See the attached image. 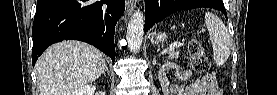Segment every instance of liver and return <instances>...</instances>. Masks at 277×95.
Listing matches in <instances>:
<instances>
[{
  "label": "liver",
  "instance_id": "1",
  "mask_svg": "<svg viewBox=\"0 0 277 95\" xmlns=\"http://www.w3.org/2000/svg\"><path fill=\"white\" fill-rule=\"evenodd\" d=\"M35 68L41 95H73L98 79L106 63L102 52L95 47L69 40L50 46Z\"/></svg>",
  "mask_w": 277,
  "mask_h": 95
}]
</instances>
